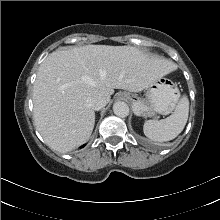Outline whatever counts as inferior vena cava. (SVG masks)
Segmentation results:
<instances>
[{"instance_id":"1","label":"inferior vena cava","mask_w":220,"mask_h":220,"mask_svg":"<svg viewBox=\"0 0 220 220\" xmlns=\"http://www.w3.org/2000/svg\"><path fill=\"white\" fill-rule=\"evenodd\" d=\"M107 104V100L104 95L100 93H95L88 98V105L93 110H100Z\"/></svg>"}]
</instances>
